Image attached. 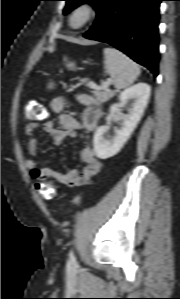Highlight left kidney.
<instances>
[{"mask_svg":"<svg viewBox=\"0 0 180 299\" xmlns=\"http://www.w3.org/2000/svg\"><path fill=\"white\" fill-rule=\"evenodd\" d=\"M149 97L150 86L146 83L133 85L120 94L119 103L111 106L106 121L107 123L111 122L115 119V114L130 103L128 114L120 117L122 126L120 129H115V136L110 139L104 138V134L109 128L108 126L97 128L93 141L94 151L98 158L107 159L120 151L140 121Z\"/></svg>","mask_w":180,"mask_h":299,"instance_id":"1","label":"left kidney"}]
</instances>
